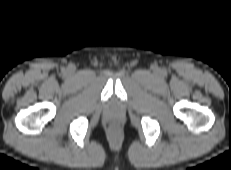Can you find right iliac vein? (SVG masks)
I'll list each match as a JSON object with an SVG mask.
<instances>
[{
  "mask_svg": "<svg viewBox=\"0 0 231 170\" xmlns=\"http://www.w3.org/2000/svg\"><path fill=\"white\" fill-rule=\"evenodd\" d=\"M70 71L72 72V71H73V69H72V68H70Z\"/></svg>",
  "mask_w": 231,
  "mask_h": 170,
  "instance_id": "1",
  "label": "right iliac vein"
}]
</instances>
